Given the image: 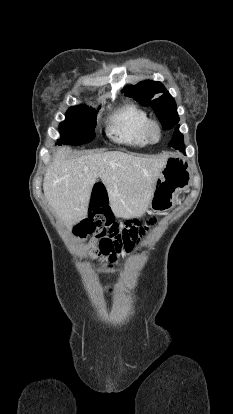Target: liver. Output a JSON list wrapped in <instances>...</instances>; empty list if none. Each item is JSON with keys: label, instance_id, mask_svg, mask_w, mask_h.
Segmentation results:
<instances>
[{"label": "liver", "instance_id": "1", "mask_svg": "<svg viewBox=\"0 0 233 414\" xmlns=\"http://www.w3.org/2000/svg\"><path fill=\"white\" fill-rule=\"evenodd\" d=\"M69 153V147L57 150L43 181L47 201L67 225L86 217L92 188L98 178L107 189L116 217L143 216L168 158L165 154L138 157L109 151L67 159Z\"/></svg>", "mask_w": 233, "mask_h": 414}]
</instances>
